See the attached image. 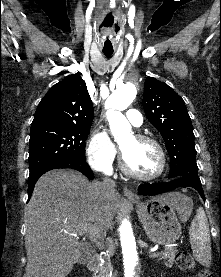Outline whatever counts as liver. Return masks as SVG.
<instances>
[{
	"mask_svg": "<svg viewBox=\"0 0 221 277\" xmlns=\"http://www.w3.org/2000/svg\"><path fill=\"white\" fill-rule=\"evenodd\" d=\"M163 198L178 206L185 197L170 193ZM117 209V192L103 195L102 183L89 182L70 169L45 173L26 206L24 277H66L86 248L77 236L85 234L86 227L105 236Z\"/></svg>",
	"mask_w": 221,
	"mask_h": 277,
	"instance_id": "liver-1",
	"label": "liver"
}]
</instances>
